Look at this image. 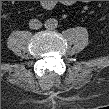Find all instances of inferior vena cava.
<instances>
[{
    "label": "inferior vena cava",
    "instance_id": "obj_1",
    "mask_svg": "<svg viewBox=\"0 0 109 109\" xmlns=\"http://www.w3.org/2000/svg\"><path fill=\"white\" fill-rule=\"evenodd\" d=\"M42 26V23L38 19H31L29 21V27L31 29H40Z\"/></svg>",
    "mask_w": 109,
    "mask_h": 109
}]
</instances>
